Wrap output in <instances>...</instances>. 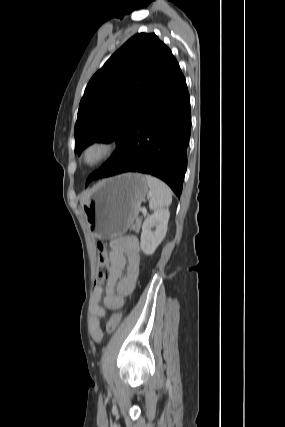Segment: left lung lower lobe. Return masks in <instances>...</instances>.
I'll return each mask as SVG.
<instances>
[{
  "mask_svg": "<svg viewBox=\"0 0 285 427\" xmlns=\"http://www.w3.org/2000/svg\"><path fill=\"white\" fill-rule=\"evenodd\" d=\"M191 129L185 78L172 55L150 98L114 156L86 182L124 172H141L165 181L180 197L187 168Z\"/></svg>",
  "mask_w": 285,
  "mask_h": 427,
  "instance_id": "0a47b994",
  "label": "left lung lower lobe"
}]
</instances>
